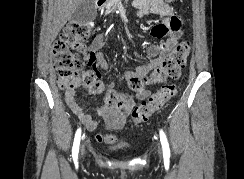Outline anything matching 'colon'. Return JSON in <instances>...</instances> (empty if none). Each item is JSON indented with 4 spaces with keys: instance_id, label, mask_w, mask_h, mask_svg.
Returning a JSON list of instances; mask_svg holds the SVG:
<instances>
[{
    "instance_id": "5ec220e1",
    "label": "colon",
    "mask_w": 244,
    "mask_h": 179,
    "mask_svg": "<svg viewBox=\"0 0 244 179\" xmlns=\"http://www.w3.org/2000/svg\"><path fill=\"white\" fill-rule=\"evenodd\" d=\"M171 1V0H170ZM91 22H84L83 26L73 23L65 27L54 45L55 75L62 89L74 90L82 85L89 94L103 96L106 107L112 115L122 112L125 107L117 100L116 94L106 90L90 56L84 54L82 41L93 33ZM164 32V29L161 30ZM190 52V45L186 41L177 43L169 57L150 76H133L129 79L132 93H141L145 88L165 80H177L186 65ZM177 88L172 82H163L160 88L141 106H134L131 112L133 121L137 124L145 123L150 117L163 108L176 95Z\"/></svg>"
}]
</instances>
